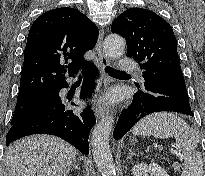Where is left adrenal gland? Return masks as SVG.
Wrapping results in <instances>:
<instances>
[{"instance_id":"left-adrenal-gland-1","label":"left adrenal gland","mask_w":205,"mask_h":176,"mask_svg":"<svg viewBox=\"0 0 205 176\" xmlns=\"http://www.w3.org/2000/svg\"><path fill=\"white\" fill-rule=\"evenodd\" d=\"M134 155H136V153H135V152H133V150H132V149H130V150H129V154H128V156H127V160L132 159V157H133Z\"/></svg>"}]
</instances>
